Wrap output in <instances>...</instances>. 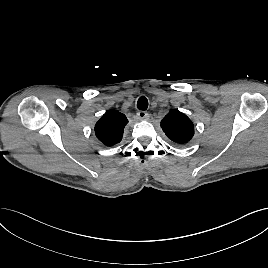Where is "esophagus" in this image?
<instances>
[{"mask_svg":"<svg viewBox=\"0 0 268 268\" xmlns=\"http://www.w3.org/2000/svg\"><path fill=\"white\" fill-rule=\"evenodd\" d=\"M137 117L140 119V120H144L148 117V114L145 112V111H138L137 112Z\"/></svg>","mask_w":268,"mask_h":268,"instance_id":"1","label":"esophagus"}]
</instances>
